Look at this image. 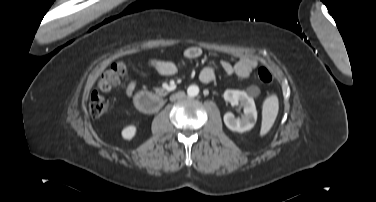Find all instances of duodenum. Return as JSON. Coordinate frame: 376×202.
I'll use <instances>...</instances> for the list:
<instances>
[{
    "instance_id": "410a0bca",
    "label": "duodenum",
    "mask_w": 376,
    "mask_h": 202,
    "mask_svg": "<svg viewBox=\"0 0 376 202\" xmlns=\"http://www.w3.org/2000/svg\"><path fill=\"white\" fill-rule=\"evenodd\" d=\"M164 94V91H161V94H151L149 92H141L134 96L133 102L135 107L143 113H155L162 106L161 96Z\"/></svg>"
}]
</instances>
